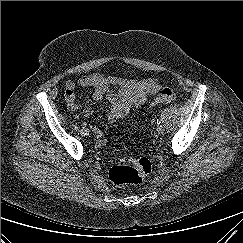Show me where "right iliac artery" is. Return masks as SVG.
Returning a JSON list of instances; mask_svg holds the SVG:
<instances>
[{"label":"right iliac artery","mask_w":243,"mask_h":243,"mask_svg":"<svg viewBox=\"0 0 243 243\" xmlns=\"http://www.w3.org/2000/svg\"><path fill=\"white\" fill-rule=\"evenodd\" d=\"M81 125H82L83 127H86V123H85V122H84V123H82Z\"/></svg>","instance_id":"obj_1"}]
</instances>
